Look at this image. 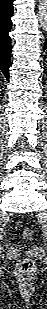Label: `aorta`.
I'll list each match as a JSON object with an SVG mask.
<instances>
[{"instance_id":"1","label":"aorta","mask_w":47,"mask_h":309,"mask_svg":"<svg viewBox=\"0 0 47 309\" xmlns=\"http://www.w3.org/2000/svg\"><path fill=\"white\" fill-rule=\"evenodd\" d=\"M40 26L42 28H46L47 25V3L46 0H43L41 6H40Z\"/></svg>"}]
</instances>
